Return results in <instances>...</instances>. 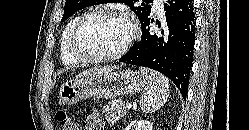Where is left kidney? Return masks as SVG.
Segmentation results:
<instances>
[{
    "instance_id": "1",
    "label": "left kidney",
    "mask_w": 249,
    "mask_h": 130,
    "mask_svg": "<svg viewBox=\"0 0 249 130\" xmlns=\"http://www.w3.org/2000/svg\"><path fill=\"white\" fill-rule=\"evenodd\" d=\"M126 130H153V125L148 120H134L128 124Z\"/></svg>"
}]
</instances>
